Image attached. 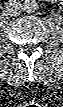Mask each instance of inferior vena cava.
<instances>
[{
    "label": "inferior vena cava",
    "instance_id": "1",
    "mask_svg": "<svg viewBox=\"0 0 63 107\" xmlns=\"http://www.w3.org/2000/svg\"><path fill=\"white\" fill-rule=\"evenodd\" d=\"M5 10L10 16H17L22 11V5L18 0L9 1L6 4Z\"/></svg>",
    "mask_w": 63,
    "mask_h": 107
}]
</instances>
